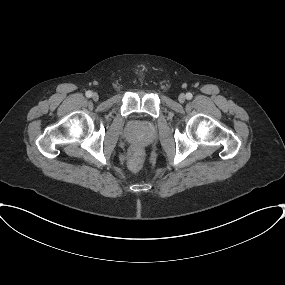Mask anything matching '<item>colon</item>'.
<instances>
[{
  "instance_id": "1",
  "label": "colon",
  "mask_w": 285,
  "mask_h": 285,
  "mask_svg": "<svg viewBox=\"0 0 285 285\" xmlns=\"http://www.w3.org/2000/svg\"><path fill=\"white\" fill-rule=\"evenodd\" d=\"M128 165L133 171H139L143 167V157L139 149L135 148L130 152Z\"/></svg>"
}]
</instances>
